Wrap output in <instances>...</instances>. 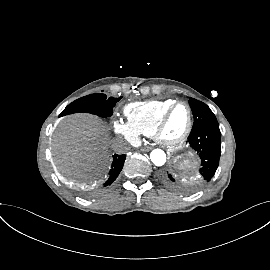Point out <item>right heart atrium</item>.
<instances>
[{"instance_id":"d8ad5b80","label":"right heart atrium","mask_w":270,"mask_h":270,"mask_svg":"<svg viewBox=\"0 0 270 270\" xmlns=\"http://www.w3.org/2000/svg\"><path fill=\"white\" fill-rule=\"evenodd\" d=\"M113 126L118 134L124 136L129 141H136L138 139L139 133L134 130L128 122L123 120H115L113 122Z\"/></svg>"}]
</instances>
